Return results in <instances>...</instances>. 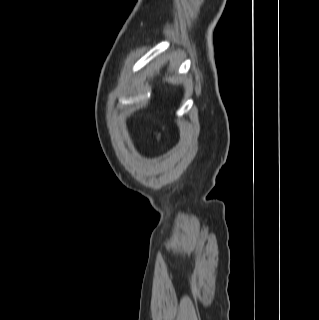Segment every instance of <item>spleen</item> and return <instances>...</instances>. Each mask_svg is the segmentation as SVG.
Listing matches in <instances>:
<instances>
[{"label": "spleen", "mask_w": 319, "mask_h": 320, "mask_svg": "<svg viewBox=\"0 0 319 320\" xmlns=\"http://www.w3.org/2000/svg\"><path fill=\"white\" fill-rule=\"evenodd\" d=\"M170 82L176 83L177 81H176V79L172 78V79H170Z\"/></svg>", "instance_id": "spleen-1"}]
</instances>
